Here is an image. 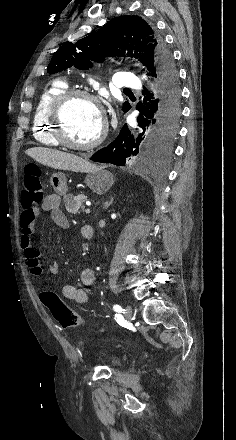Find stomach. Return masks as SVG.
Segmentation results:
<instances>
[{"mask_svg": "<svg viewBox=\"0 0 236 440\" xmlns=\"http://www.w3.org/2000/svg\"><path fill=\"white\" fill-rule=\"evenodd\" d=\"M50 183L58 195H66L68 189L64 173H53L50 177ZM113 183V175L102 167H96L89 171L85 177V184L97 194L106 193L112 187Z\"/></svg>", "mask_w": 236, "mask_h": 440, "instance_id": "0dacf381", "label": "stomach"}]
</instances>
